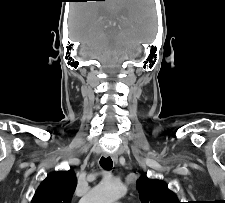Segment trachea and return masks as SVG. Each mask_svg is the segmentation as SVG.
Returning <instances> with one entry per match:
<instances>
[{
    "mask_svg": "<svg viewBox=\"0 0 225 203\" xmlns=\"http://www.w3.org/2000/svg\"><path fill=\"white\" fill-rule=\"evenodd\" d=\"M100 165L105 170H111L113 167V161L110 157H101Z\"/></svg>",
    "mask_w": 225,
    "mask_h": 203,
    "instance_id": "1",
    "label": "trachea"
}]
</instances>
